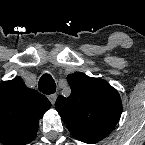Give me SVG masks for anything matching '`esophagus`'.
<instances>
[{
    "mask_svg": "<svg viewBox=\"0 0 145 145\" xmlns=\"http://www.w3.org/2000/svg\"><path fill=\"white\" fill-rule=\"evenodd\" d=\"M48 99L50 100L51 104L54 105L57 99V94H51L48 96Z\"/></svg>",
    "mask_w": 145,
    "mask_h": 145,
    "instance_id": "1",
    "label": "esophagus"
}]
</instances>
